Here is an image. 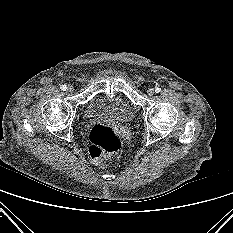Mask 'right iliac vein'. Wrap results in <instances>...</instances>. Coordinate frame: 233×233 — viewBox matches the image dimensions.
Returning a JSON list of instances; mask_svg holds the SVG:
<instances>
[{
	"label": "right iliac vein",
	"mask_w": 233,
	"mask_h": 233,
	"mask_svg": "<svg viewBox=\"0 0 233 233\" xmlns=\"http://www.w3.org/2000/svg\"><path fill=\"white\" fill-rule=\"evenodd\" d=\"M67 91L68 92H73L74 91V87L72 85H68Z\"/></svg>",
	"instance_id": "63e3f726"
}]
</instances>
